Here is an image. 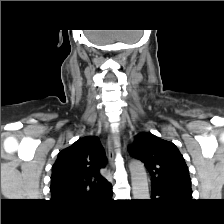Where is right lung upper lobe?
<instances>
[{
	"mask_svg": "<svg viewBox=\"0 0 224 224\" xmlns=\"http://www.w3.org/2000/svg\"><path fill=\"white\" fill-rule=\"evenodd\" d=\"M106 162L97 137H83L63 149L52 168L51 200L75 205L87 199L110 196L112 185L99 172Z\"/></svg>",
	"mask_w": 224,
	"mask_h": 224,
	"instance_id": "obj_1",
	"label": "right lung upper lobe"
}]
</instances>
